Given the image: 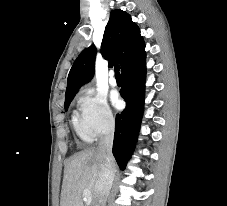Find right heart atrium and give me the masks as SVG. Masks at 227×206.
<instances>
[{
    "instance_id": "obj_1",
    "label": "right heart atrium",
    "mask_w": 227,
    "mask_h": 206,
    "mask_svg": "<svg viewBox=\"0 0 227 206\" xmlns=\"http://www.w3.org/2000/svg\"><path fill=\"white\" fill-rule=\"evenodd\" d=\"M81 122L91 138H97L114 128L115 117L102 94L91 88L81 90L77 97Z\"/></svg>"
}]
</instances>
